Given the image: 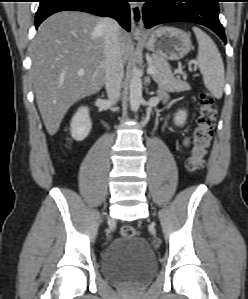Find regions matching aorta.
Listing matches in <instances>:
<instances>
[{"label":"aorta","mask_w":248,"mask_h":299,"mask_svg":"<svg viewBox=\"0 0 248 299\" xmlns=\"http://www.w3.org/2000/svg\"><path fill=\"white\" fill-rule=\"evenodd\" d=\"M130 106L132 111L137 112L139 110L142 101V80L141 73L137 67L132 69V76L130 79Z\"/></svg>","instance_id":"aorta-1"}]
</instances>
